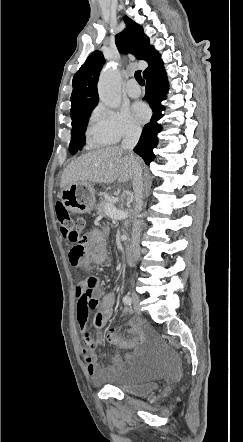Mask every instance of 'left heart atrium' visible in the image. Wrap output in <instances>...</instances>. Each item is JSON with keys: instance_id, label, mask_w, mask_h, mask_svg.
<instances>
[{"instance_id": "39dd6f15", "label": "left heart atrium", "mask_w": 243, "mask_h": 442, "mask_svg": "<svg viewBox=\"0 0 243 442\" xmlns=\"http://www.w3.org/2000/svg\"><path fill=\"white\" fill-rule=\"evenodd\" d=\"M132 112L139 122H144L149 117V109L143 102H135L132 106Z\"/></svg>"}]
</instances>
